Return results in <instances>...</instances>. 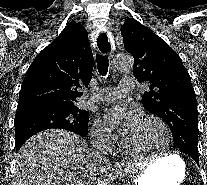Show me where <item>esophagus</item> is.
I'll list each match as a JSON object with an SVG mask.
<instances>
[{
  "mask_svg": "<svg viewBox=\"0 0 207 185\" xmlns=\"http://www.w3.org/2000/svg\"><path fill=\"white\" fill-rule=\"evenodd\" d=\"M104 32H107V30H104ZM109 37H110L109 33L95 32V36L93 38L95 49L97 50L98 48H112V43H109L110 42ZM105 54H109V51H105Z\"/></svg>",
  "mask_w": 207,
  "mask_h": 185,
  "instance_id": "obj_1",
  "label": "esophagus"
}]
</instances>
